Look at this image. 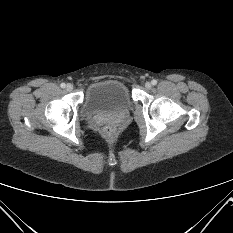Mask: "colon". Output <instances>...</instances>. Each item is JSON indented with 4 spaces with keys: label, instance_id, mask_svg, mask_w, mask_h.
I'll return each mask as SVG.
<instances>
[{
    "label": "colon",
    "instance_id": "obj_1",
    "mask_svg": "<svg viewBox=\"0 0 233 233\" xmlns=\"http://www.w3.org/2000/svg\"><path fill=\"white\" fill-rule=\"evenodd\" d=\"M101 133L104 137L110 138L115 134V128L112 124H106L103 126Z\"/></svg>",
    "mask_w": 233,
    "mask_h": 233
}]
</instances>
